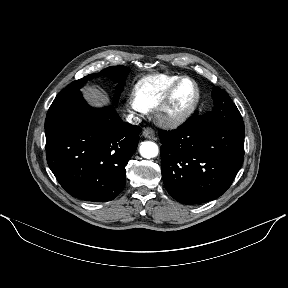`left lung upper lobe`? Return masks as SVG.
Masks as SVG:
<instances>
[{"instance_id": "left-lung-upper-lobe-1", "label": "left lung upper lobe", "mask_w": 288, "mask_h": 288, "mask_svg": "<svg viewBox=\"0 0 288 288\" xmlns=\"http://www.w3.org/2000/svg\"><path fill=\"white\" fill-rule=\"evenodd\" d=\"M212 98L214 107L212 111L203 115L205 121L231 127L238 132L244 133L242 116L229 95L219 87H214Z\"/></svg>"}]
</instances>
